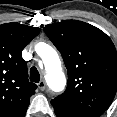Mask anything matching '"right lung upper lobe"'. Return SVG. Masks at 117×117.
<instances>
[{
  "instance_id": "right-lung-upper-lobe-1",
  "label": "right lung upper lobe",
  "mask_w": 117,
  "mask_h": 117,
  "mask_svg": "<svg viewBox=\"0 0 117 117\" xmlns=\"http://www.w3.org/2000/svg\"><path fill=\"white\" fill-rule=\"evenodd\" d=\"M40 28L19 23L0 25V117H24L37 85L29 82L23 48Z\"/></svg>"
}]
</instances>
